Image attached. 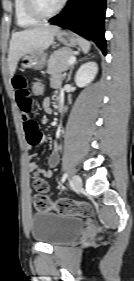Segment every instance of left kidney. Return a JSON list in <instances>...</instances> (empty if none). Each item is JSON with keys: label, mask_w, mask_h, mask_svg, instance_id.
Returning a JSON list of instances; mask_svg holds the SVG:
<instances>
[{"label": "left kidney", "mask_w": 134, "mask_h": 281, "mask_svg": "<svg viewBox=\"0 0 134 281\" xmlns=\"http://www.w3.org/2000/svg\"><path fill=\"white\" fill-rule=\"evenodd\" d=\"M98 66L95 62H87L80 66L75 75V83L79 87H85L95 78Z\"/></svg>", "instance_id": "obj_1"}]
</instances>
